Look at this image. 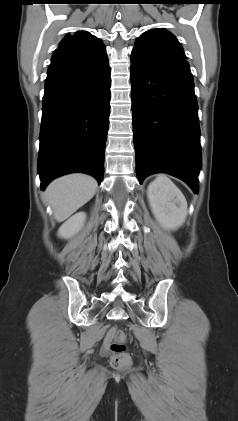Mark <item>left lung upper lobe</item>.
<instances>
[{"label": "left lung upper lobe", "mask_w": 238, "mask_h": 421, "mask_svg": "<svg viewBox=\"0 0 238 421\" xmlns=\"http://www.w3.org/2000/svg\"><path fill=\"white\" fill-rule=\"evenodd\" d=\"M132 51L151 58L166 56L186 57L181 44L175 36L163 28L144 32L136 40Z\"/></svg>", "instance_id": "obj_1"}]
</instances>
